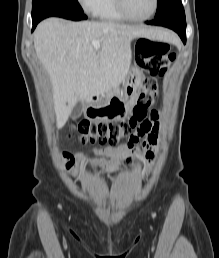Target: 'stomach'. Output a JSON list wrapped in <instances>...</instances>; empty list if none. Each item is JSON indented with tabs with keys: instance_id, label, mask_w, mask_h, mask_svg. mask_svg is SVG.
Here are the masks:
<instances>
[{
	"instance_id": "obj_1",
	"label": "stomach",
	"mask_w": 219,
	"mask_h": 258,
	"mask_svg": "<svg viewBox=\"0 0 219 258\" xmlns=\"http://www.w3.org/2000/svg\"><path fill=\"white\" fill-rule=\"evenodd\" d=\"M143 72L135 61L121 89L91 98L84 109L86 118L92 121H114L125 119L135 105L141 91Z\"/></svg>"
}]
</instances>
